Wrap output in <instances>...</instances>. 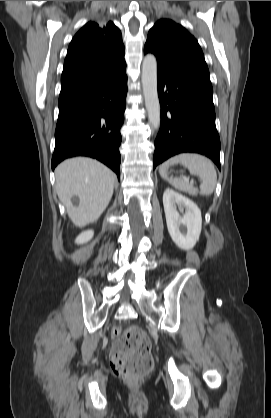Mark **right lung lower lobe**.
Returning <instances> with one entry per match:
<instances>
[{
  "label": "right lung lower lobe",
  "mask_w": 271,
  "mask_h": 418,
  "mask_svg": "<svg viewBox=\"0 0 271 418\" xmlns=\"http://www.w3.org/2000/svg\"><path fill=\"white\" fill-rule=\"evenodd\" d=\"M126 66L93 90L59 103L52 169L74 156L96 158L120 177V128L127 93Z\"/></svg>",
  "instance_id": "1"
}]
</instances>
